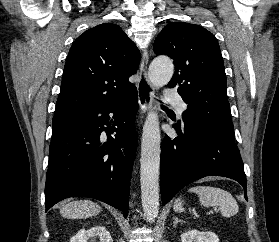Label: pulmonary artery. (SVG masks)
<instances>
[{
  "label": "pulmonary artery",
  "mask_w": 279,
  "mask_h": 242,
  "mask_svg": "<svg viewBox=\"0 0 279 242\" xmlns=\"http://www.w3.org/2000/svg\"><path fill=\"white\" fill-rule=\"evenodd\" d=\"M165 97L166 101L174 106L180 114H182L186 110V104L179 94L173 91H168L166 92Z\"/></svg>",
  "instance_id": "pulmonary-artery-1"
}]
</instances>
